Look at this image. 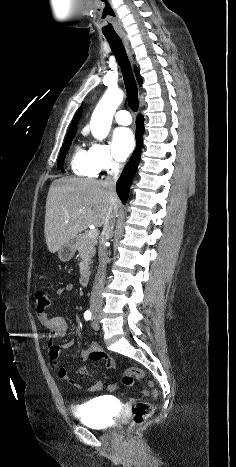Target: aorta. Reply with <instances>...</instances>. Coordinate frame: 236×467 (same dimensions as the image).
I'll return each mask as SVG.
<instances>
[{
	"label": "aorta",
	"mask_w": 236,
	"mask_h": 467,
	"mask_svg": "<svg viewBox=\"0 0 236 467\" xmlns=\"http://www.w3.org/2000/svg\"><path fill=\"white\" fill-rule=\"evenodd\" d=\"M124 97L122 90L109 87L97 104L90 121L92 135L103 140L109 133L113 115Z\"/></svg>",
	"instance_id": "aorta-1"
}]
</instances>
